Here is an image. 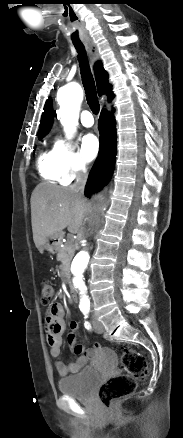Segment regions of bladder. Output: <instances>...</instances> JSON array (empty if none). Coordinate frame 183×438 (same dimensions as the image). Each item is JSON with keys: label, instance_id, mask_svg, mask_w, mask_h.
<instances>
[{"label": "bladder", "instance_id": "1", "mask_svg": "<svg viewBox=\"0 0 183 438\" xmlns=\"http://www.w3.org/2000/svg\"><path fill=\"white\" fill-rule=\"evenodd\" d=\"M99 381L100 375L94 368H85L74 376L61 378L58 390L63 395L89 399Z\"/></svg>", "mask_w": 183, "mask_h": 438}]
</instances>
